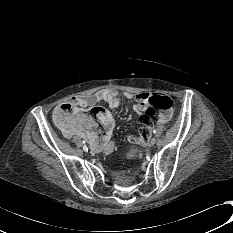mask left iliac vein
Here are the masks:
<instances>
[{"instance_id": "left-iliac-vein-1", "label": "left iliac vein", "mask_w": 233, "mask_h": 233, "mask_svg": "<svg viewBox=\"0 0 233 233\" xmlns=\"http://www.w3.org/2000/svg\"><path fill=\"white\" fill-rule=\"evenodd\" d=\"M155 143H156V139L153 138V139L150 141L149 145H150V146H153V145H155Z\"/></svg>"}]
</instances>
